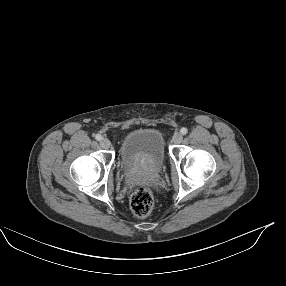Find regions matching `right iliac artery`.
Returning a JSON list of instances; mask_svg holds the SVG:
<instances>
[{"label":"right iliac artery","mask_w":286,"mask_h":286,"mask_svg":"<svg viewBox=\"0 0 286 286\" xmlns=\"http://www.w3.org/2000/svg\"><path fill=\"white\" fill-rule=\"evenodd\" d=\"M95 139H96L97 141H100V140L102 139V136H101L100 134H96V135H95Z\"/></svg>","instance_id":"1"}]
</instances>
